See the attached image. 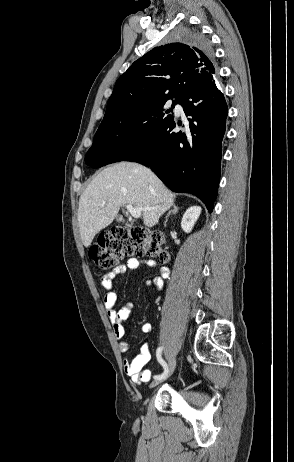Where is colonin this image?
<instances>
[{
  "label": "colon",
  "mask_w": 294,
  "mask_h": 462,
  "mask_svg": "<svg viewBox=\"0 0 294 462\" xmlns=\"http://www.w3.org/2000/svg\"><path fill=\"white\" fill-rule=\"evenodd\" d=\"M164 236L160 232L148 231L142 227L116 226L99 237L91 247L89 256L102 270H111L127 256L149 255L160 262L169 259L162 247Z\"/></svg>",
  "instance_id": "obj_1"
}]
</instances>
